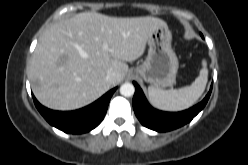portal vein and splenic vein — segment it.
<instances>
[{"label":"portal vein and splenic vein","instance_id":"18ae733b","mask_svg":"<svg viewBox=\"0 0 248 165\" xmlns=\"http://www.w3.org/2000/svg\"><path fill=\"white\" fill-rule=\"evenodd\" d=\"M103 48L106 50L108 47H107V45H104V47H103Z\"/></svg>","mask_w":248,"mask_h":165}]
</instances>
